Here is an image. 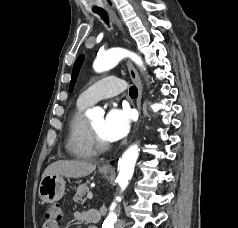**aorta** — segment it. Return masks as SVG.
I'll return each mask as SVG.
<instances>
[{
  "label": "aorta",
  "instance_id": "obj_1",
  "mask_svg": "<svg viewBox=\"0 0 238 228\" xmlns=\"http://www.w3.org/2000/svg\"><path fill=\"white\" fill-rule=\"evenodd\" d=\"M125 57H129L136 65L145 70L141 57L138 54L123 48H112L99 54L93 63V68L98 73L107 71L116 66ZM101 112L102 110L100 108H93L89 110V114L91 116ZM138 156L139 147L138 144L135 143L124 151L121 159L119 160V173L116 180L121 188V191L126 189L133 176ZM115 207L116 203L113 202L110 208V213L102 224V228H115L117 223V215L114 212Z\"/></svg>",
  "mask_w": 238,
  "mask_h": 228
}]
</instances>
